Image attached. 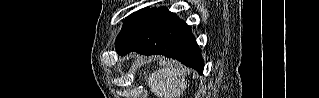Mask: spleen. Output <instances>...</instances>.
Here are the masks:
<instances>
[{"mask_svg":"<svg viewBox=\"0 0 319 98\" xmlns=\"http://www.w3.org/2000/svg\"><path fill=\"white\" fill-rule=\"evenodd\" d=\"M186 72L175 64L155 70L147 77L148 86L159 98H180L187 87Z\"/></svg>","mask_w":319,"mask_h":98,"instance_id":"1","label":"spleen"}]
</instances>
